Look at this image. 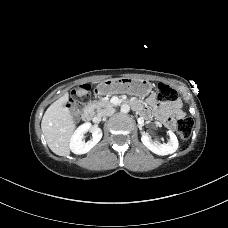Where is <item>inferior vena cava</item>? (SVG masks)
Listing matches in <instances>:
<instances>
[{"mask_svg": "<svg viewBox=\"0 0 228 228\" xmlns=\"http://www.w3.org/2000/svg\"><path fill=\"white\" fill-rule=\"evenodd\" d=\"M115 112V109L110 107V108H107L105 110H103L102 112H100L98 114L99 117H104V116H111L112 114H114Z\"/></svg>", "mask_w": 228, "mask_h": 228, "instance_id": "obj_1", "label": "inferior vena cava"}]
</instances>
